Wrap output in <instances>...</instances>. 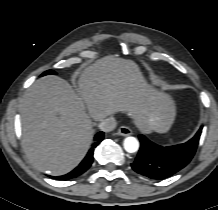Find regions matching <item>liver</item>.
<instances>
[{"mask_svg": "<svg viewBox=\"0 0 218 210\" xmlns=\"http://www.w3.org/2000/svg\"><path fill=\"white\" fill-rule=\"evenodd\" d=\"M79 91L58 76L37 80L20 104L22 142L33 165L50 175L74 169L94 136L93 120L125 112L145 133L165 132L173 124L175 104L150 86L138 65L106 56L84 69Z\"/></svg>", "mask_w": 218, "mask_h": 210, "instance_id": "6515ba94", "label": "liver"}]
</instances>
